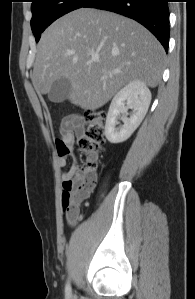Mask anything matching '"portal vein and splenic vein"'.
<instances>
[{
	"label": "portal vein and splenic vein",
	"mask_w": 195,
	"mask_h": 299,
	"mask_svg": "<svg viewBox=\"0 0 195 299\" xmlns=\"http://www.w3.org/2000/svg\"><path fill=\"white\" fill-rule=\"evenodd\" d=\"M98 59H99L98 56H95L92 58V61L96 62V61H98Z\"/></svg>",
	"instance_id": "obj_1"
}]
</instances>
